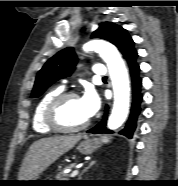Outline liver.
I'll return each mask as SVG.
<instances>
[{"instance_id": "liver-1", "label": "liver", "mask_w": 178, "mask_h": 186, "mask_svg": "<svg viewBox=\"0 0 178 186\" xmlns=\"http://www.w3.org/2000/svg\"><path fill=\"white\" fill-rule=\"evenodd\" d=\"M81 138L82 135L78 134L53 136L35 141L23 159L18 179L29 181L36 178L60 156L73 148Z\"/></svg>"}]
</instances>
